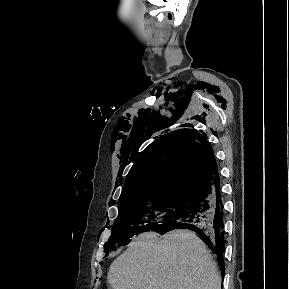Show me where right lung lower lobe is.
I'll use <instances>...</instances> for the list:
<instances>
[{
  "instance_id": "1",
  "label": "right lung lower lobe",
  "mask_w": 289,
  "mask_h": 289,
  "mask_svg": "<svg viewBox=\"0 0 289 289\" xmlns=\"http://www.w3.org/2000/svg\"><path fill=\"white\" fill-rule=\"evenodd\" d=\"M222 219L223 204L220 193V181L218 180L196 194V200L189 211L155 231L160 234L173 229H189L196 232L216 254L222 274H224L223 253L225 240Z\"/></svg>"
}]
</instances>
